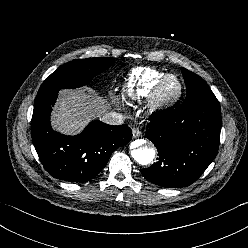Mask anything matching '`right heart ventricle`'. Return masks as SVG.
<instances>
[{
    "label": "right heart ventricle",
    "mask_w": 248,
    "mask_h": 248,
    "mask_svg": "<svg viewBox=\"0 0 248 248\" xmlns=\"http://www.w3.org/2000/svg\"><path fill=\"white\" fill-rule=\"evenodd\" d=\"M165 75L166 73L149 67L136 68L126 81L124 94L131 99H144L151 95L158 81Z\"/></svg>",
    "instance_id": "1"
}]
</instances>
